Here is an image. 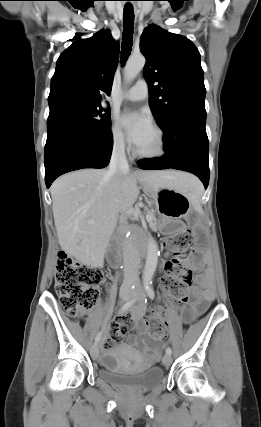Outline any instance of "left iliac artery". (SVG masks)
Returning a JSON list of instances; mask_svg holds the SVG:
<instances>
[{
    "label": "left iliac artery",
    "instance_id": "44dca946",
    "mask_svg": "<svg viewBox=\"0 0 261 427\" xmlns=\"http://www.w3.org/2000/svg\"><path fill=\"white\" fill-rule=\"evenodd\" d=\"M146 291H147L148 296H149V298H150V299H154V298H155L154 290H153V288L149 285V283H148V284H147V286H146ZM145 303H146V299H145ZM166 353L171 355V354H172V349H171L170 347H167V348H166Z\"/></svg>",
    "mask_w": 261,
    "mask_h": 427
}]
</instances>
